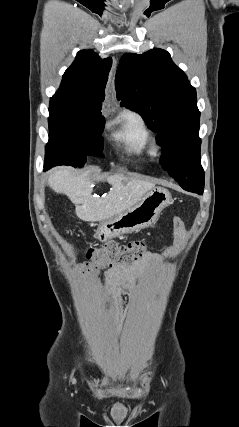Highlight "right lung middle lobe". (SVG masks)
<instances>
[{
  "label": "right lung middle lobe",
  "instance_id": "1",
  "mask_svg": "<svg viewBox=\"0 0 239 427\" xmlns=\"http://www.w3.org/2000/svg\"><path fill=\"white\" fill-rule=\"evenodd\" d=\"M45 169L56 165L82 167L86 156H103L105 119L101 112L50 105Z\"/></svg>",
  "mask_w": 239,
  "mask_h": 427
}]
</instances>
